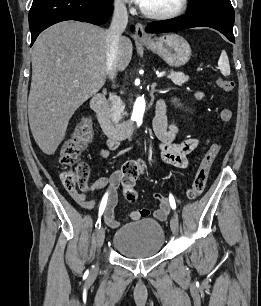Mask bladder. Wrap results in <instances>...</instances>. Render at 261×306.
<instances>
[{"instance_id": "obj_1", "label": "bladder", "mask_w": 261, "mask_h": 306, "mask_svg": "<svg viewBox=\"0 0 261 306\" xmlns=\"http://www.w3.org/2000/svg\"><path fill=\"white\" fill-rule=\"evenodd\" d=\"M165 243L163 226L152 219H141L118 228L112 238L113 248L121 255L149 258L157 255Z\"/></svg>"}]
</instances>
